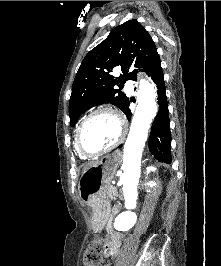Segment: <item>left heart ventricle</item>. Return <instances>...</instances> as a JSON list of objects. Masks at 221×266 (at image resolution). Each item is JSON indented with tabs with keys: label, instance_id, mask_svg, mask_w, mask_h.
Instances as JSON below:
<instances>
[{
	"label": "left heart ventricle",
	"instance_id": "b2bd125f",
	"mask_svg": "<svg viewBox=\"0 0 221 266\" xmlns=\"http://www.w3.org/2000/svg\"><path fill=\"white\" fill-rule=\"evenodd\" d=\"M118 120L107 113L96 115L86 126L83 134L85 146L92 150H99L111 145L119 136Z\"/></svg>",
	"mask_w": 221,
	"mask_h": 266
}]
</instances>
